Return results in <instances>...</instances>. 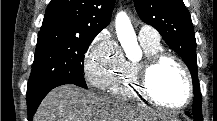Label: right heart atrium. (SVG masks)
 <instances>
[{
	"instance_id": "d8ad5b80",
	"label": "right heart atrium",
	"mask_w": 217,
	"mask_h": 121,
	"mask_svg": "<svg viewBox=\"0 0 217 121\" xmlns=\"http://www.w3.org/2000/svg\"><path fill=\"white\" fill-rule=\"evenodd\" d=\"M123 62L117 42L104 30L94 38L86 52V79L92 86L105 89L117 76Z\"/></svg>"
}]
</instances>
